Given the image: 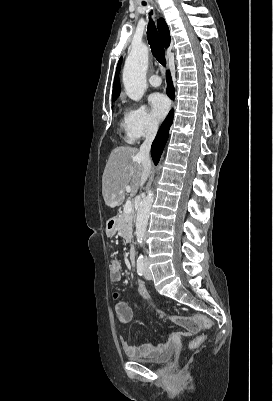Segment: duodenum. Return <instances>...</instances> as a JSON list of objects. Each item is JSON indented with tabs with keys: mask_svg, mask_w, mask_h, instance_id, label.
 Masks as SVG:
<instances>
[{
	"mask_svg": "<svg viewBox=\"0 0 273 401\" xmlns=\"http://www.w3.org/2000/svg\"><path fill=\"white\" fill-rule=\"evenodd\" d=\"M115 218H112L109 220L108 222V229L109 231H112L114 226H115ZM128 258L131 264L135 263V258H136V251L135 248L133 246L130 247L129 251H128Z\"/></svg>",
	"mask_w": 273,
	"mask_h": 401,
	"instance_id": "410a0bca",
	"label": "duodenum"
}]
</instances>
